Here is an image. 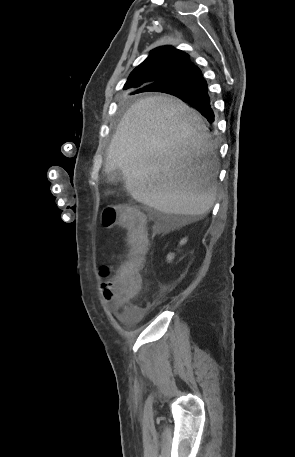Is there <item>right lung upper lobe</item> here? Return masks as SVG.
I'll use <instances>...</instances> for the list:
<instances>
[{"label":"right lung upper lobe","instance_id":"right-lung-upper-lobe-1","mask_svg":"<svg viewBox=\"0 0 295 457\" xmlns=\"http://www.w3.org/2000/svg\"><path fill=\"white\" fill-rule=\"evenodd\" d=\"M190 62L189 55L172 46L153 49L150 55L130 74L124 89H142L172 80Z\"/></svg>","mask_w":295,"mask_h":457}]
</instances>
